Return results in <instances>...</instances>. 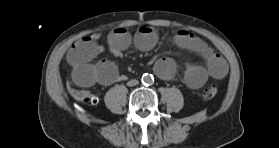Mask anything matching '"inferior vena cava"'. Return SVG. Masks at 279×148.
Returning <instances> with one entry per match:
<instances>
[{
	"label": "inferior vena cava",
	"mask_w": 279,
	"mask_h": 148,
	"mask_svg": "<svg viewBox=\"0 0 279 148\" xmlns=\"http://www.w3.org/2000/svg\"><path fill=\"white\" fill-rule=\"evenodd\" d=\"M137 84H138V80H136V79L130 80V81L127 83L128 86H135V85H137Z\"/></svg>",
	"instance_id": "602c4592"
}]
</instances>
